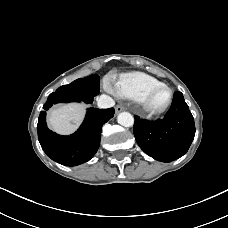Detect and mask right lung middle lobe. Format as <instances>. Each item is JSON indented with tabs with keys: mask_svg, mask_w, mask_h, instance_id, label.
<instances>
[{
	"mask_svg": "<svg viewBox=\"0 0 228 228\" xmlns=\"http://www.w3.org/2000/svg\"><path fill=\"white\" fill-rule=\"evenodd\" d=\"M99 91V76L93 74L82 79H77L68 85L61 86L54 93L75 97L86 103H91L93 97L96 96Z\"/></svg>",
	"mask_w": 228,
	"mask_h": 228,
	"instance_id": "1",
	"label": "right lung middle lobe"
}]
</instances>
